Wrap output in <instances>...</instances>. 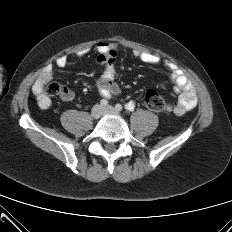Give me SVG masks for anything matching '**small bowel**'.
Returning <instances> with one entry per match:
<instances>
[{"label":"small bowel","mask_w":232,"mask_h":232,"mask_svg":"<svg viewBox=\"0 0 232 232\" xmlns=\"http://www.w3.org/2000/svg\"><path fill=\"white\" fill-rule=\"evenodd\" d=\"M95 48L98 52L97 63L103 68L102 72L95 79L96 87L100 95L104 98L116 96L120 93V87L115 82L117 67L114 45L110 42L101 41L97 43ZM88 51L89 48L80 50L76 55L77 59L83 58ZM134 56L150 66L163 65L169 72L174 90L178 93V98L175 103H171L166 107L168 112L182 115L197 105V94L192 81L175 63L162 61L156 54L142 50L134 51ZM68 63L69 61L66 56H61L55 61L56 66L59 68L66 67ZM64 89L65 93L61 95V99L63 101H71L74 98L73 91L65 86ZM32 92L40 108L49 109L51 107V99L43 90L40 79L34 83Z\"/></svg>","instance_id":"1"}]
</instances>
